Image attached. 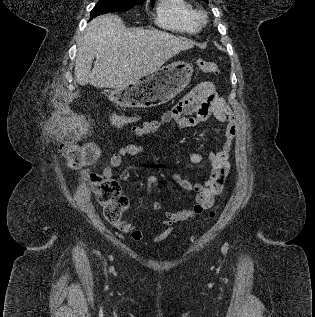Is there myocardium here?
<instances>
[{
    "label": "myocardium",
    "instance_id": "myocardium-1",
    "mask_svg": "<svg viewBox=\"0 0 315 317\" xmlns=\"http://www.w3.org/2000/svg\"><path fill=\"white\" fill-rule=\"evenodd\" d=\"M207 16L203 11H196V22L199 26H202L206 23Z\"/></svg>",
    "mask_w": 315,
    "mask_h": 317
}]
</instances>
